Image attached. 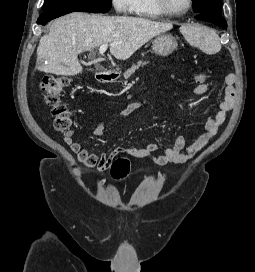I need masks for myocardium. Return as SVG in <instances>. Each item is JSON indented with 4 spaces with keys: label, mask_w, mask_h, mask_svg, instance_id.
Listing matches in <instances>:
<instances>
[{
    "label": "myocardium",
    "mask_w": 255,
    "mask_h": 272,
    "mask_svg": "<svg viewBox=\"0 0 255 272\" xmlns=\"http://www.w3.org/2000/svg\"><path fill=\"white\" fill-rule=\"evenodd\" d=\"M156 5L158 9L162 12L163 15L168 16V17H179L182 15H185L193 5V0H188L186 8H184L181 11H172L168 5L166 0H155Z\"/></svg>",
    "instance_id": "f54148a6"
}]
</instances>
